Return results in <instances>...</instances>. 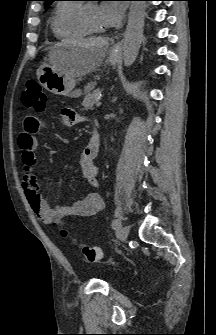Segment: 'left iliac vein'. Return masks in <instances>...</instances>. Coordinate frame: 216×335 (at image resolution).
<instances>
[{"label": "left iliac vein", "mask_w": 216, "mask_h": 335, "mask_svg": "<svg viewBox=\"0 0 216 335\" xmlns=\"http://www.w3.org/2000/svg\"><path fill=\"white\" fill-rule=\"evenodd\" d=\"M129 230L130 227L128 225H125L124 227H122L121 231H120V240L123 242L128 238L129 235Z\"/></svg>", "instance_id": "1"}]
</instances>
